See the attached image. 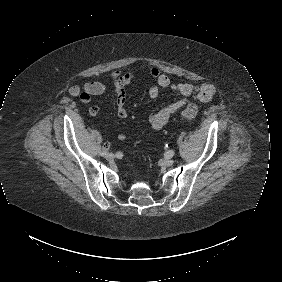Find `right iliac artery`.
Masks as SVG:
<instances>
[{
  "label": "right iliac artery",
  "instance_id": "right-iliac-artery-1",
  "mask_svg": "<svg viewBox=\"0 0 282 282\" xmlns=\"http://www.w3.org/2000/svg\"><path fill=\"white\" fill-rule=\"evenodd\" d=\"M106 153H107V150H103V151L100 152V155L104 156V155H106Z\"/></svg>",
  "mask_w": 282,
  "mask_h": 282
}]
</instances>
